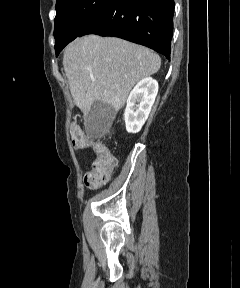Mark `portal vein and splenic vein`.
<instances>
[{
    "label": "portal vein and splenic vein",
    "instance_id": "obj_1",
    "mask_svg": "<svg viewBox=\"0 0 240 288\" xmlns=\"http://www.w3.org/2000/svg\"><path fill=\"white\" fill-rule=\"evenodd\" d=\"M92 81L94 82V81H96V79H95V78H92Z\"/></svg>",
    "mask_w": 240,
    "mask_h": 288
}]
</instances>
